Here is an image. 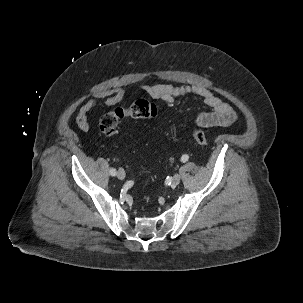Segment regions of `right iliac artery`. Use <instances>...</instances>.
Segmentation results:
<instances>
[{"instance_id":"right-iliac-artery-1","label":"right iliac artery","mask_w":303,"mask_h":303,"mask_svg":"<svg viewBox=\"0 0 303 303\" xmlns=\"http://www.w3.org/2000/svg\"><path fill=\"white\" fill-rule=\"evenodd\" d=\"M110 174H111L112 176H115V175L117 174V172H116V170H115L114 168H111V169H110Z\"/></svg>"}]
</instances>
